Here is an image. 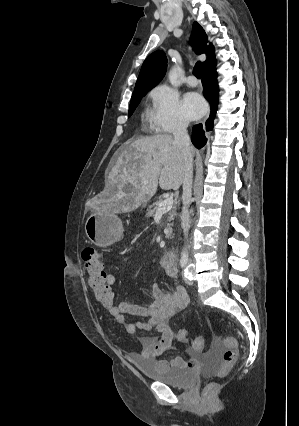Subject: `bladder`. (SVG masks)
<instances>
[{
    "label": "bladder",
    "instance_id": "31cf9c89",
    "mask_svg": "<svg viewBox=\"0 0 299 426\" xmlns=\"http://www.w3.org/2000/svg\"><path fill=\"white\" fill-rule=\"evenodd\" d=\"M133 362L138 364L139 369L147 378L176 388L188 389L194 385L197 379L195 370L191 368L169 366L165 369H159L144 361Z\"/></svg>",
    "mask_w": 299,
    "mask_h": 426
}]
</instances>
